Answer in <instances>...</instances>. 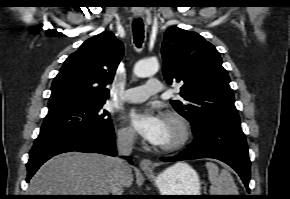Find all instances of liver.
I'll list each match as a JSON object with an SVG mask.
<instances>
[{"label": "liver", "instance_id": "obj_1", "mask_svg": "<svg viewBox=\"0 0 290 199\" xmlns=\"http://www.w3.org/2000/svg\"><path fill=\"white\" fill-rule=\"evenodd\" d=\"M114 163L111 157L79 152L63 153L48 160L33 176L30 195H109ZM133 183L128 167L124 187Z\"/></svg>", "mask_w": 290, "mask_h": 199}]
</instances>
